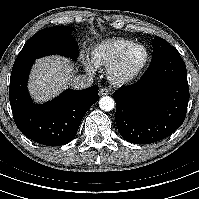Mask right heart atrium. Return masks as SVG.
<instances>
[{"label":"right heart atrium","instance_id":"right-heart-atrium-1","mask_svg":"<svg viewBox=\"0 0 199 199\" xmlns=\"http://www.w3.org/2000/svg\"><path fill=\"white\" fill-rule=\"evenodd\" d=\"M84 64L89 72L93 73L95 71V68L91 63L84 61Z\"/></svg>","mask_w":199,"mask_h":199}]
</instances>
